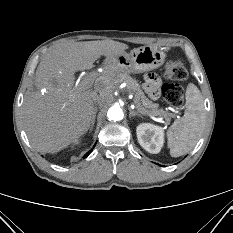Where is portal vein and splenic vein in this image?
<instances>
[{
  "label": "portal vein and splenic vein",
  "mask_w": 233,
  "mask_h": 233,
  "mask_svg": "<svg viewBox=\"0 0 233 233\" xmlns=\"http://www.w3.org/2000/svg\"><path fill=\"white\" fill-rule=\"evenodd\" d=\"M92 84H93V78L89 76V77L84 78L77 86L80 90H87L92 86ZM137 108L142 113H147V114H151L154 116H161V115L165 116L166 115L164 111L150 113L149 111H146L145 109H143L140 105H138Z\"/></svg>",
  "instance_id": "portal-vein-and-splenic-vein-1"
}]
</instances>
